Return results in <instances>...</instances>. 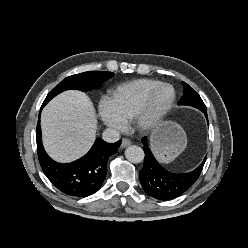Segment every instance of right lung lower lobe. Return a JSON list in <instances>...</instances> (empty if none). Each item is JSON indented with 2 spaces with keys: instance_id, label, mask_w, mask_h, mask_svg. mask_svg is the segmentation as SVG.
Wrapping results in <instances>:
<instances>
[{
  "instance_id": "obj_1",
  "label": "right lung lower lobe",
  "mask_w": 248,
  "mask_h": 248,
  "mask_svg": "<svg viewBox=\"0 0 248 248\" xmlns=\"http://www.w3.org/2000/svg\"><path fill=\"white\" fill-rule=\"evenodd\" d=\"M45 105L43 103L41 109ZM36 139L38 158L44 174L60 191L76 197H86L99 190L106 177L107 161L111 155L117 152L121 144V141L110 144L102 139H97L84 157L72 163H57L47 155L43 148L40 115Z\"/></svg>"
}]
</instances>
